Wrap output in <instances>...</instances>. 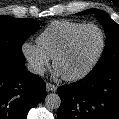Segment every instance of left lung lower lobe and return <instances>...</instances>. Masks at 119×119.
<instances>
[{
  "label": "left lung lower lobe",
  "mask_w": 119,
  "mask_h": 119,
  "mask_svg": "<svg viewBox=\"0 0 119 119\" xmlns=\"http://www.w3.org/2000/svg\"><path fill=\"white\" fill-rule=\"evenodd\" d=\"M57 119H119V67L58 88Z\"/></svg>",
  "instance_id": "0a47b994"
}]
</instances>
